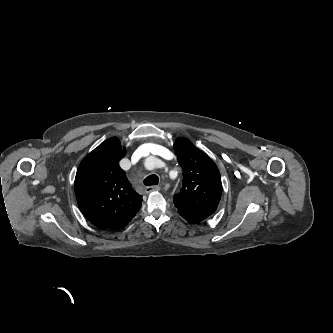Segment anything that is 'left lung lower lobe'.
<instances>
[{"instance_id":"obj_1","label":"left lung lower lobe","mask_w":333,"mask_h":333,"mask_svg":"<svg viewBox=\"0 0 333 333\" xmlns=\"http://www.w3.org/2000/svg\"><path fill=\"white\" fill-rule=\"evenodd\" d=\"M179 214L185 219L187 220L188 222L190 223H198L202 220H204L205 218L203 217H200V216H196V215H192V214H188V213H184V212H181V211H178Z\"/></svg>"}]
</instances>
